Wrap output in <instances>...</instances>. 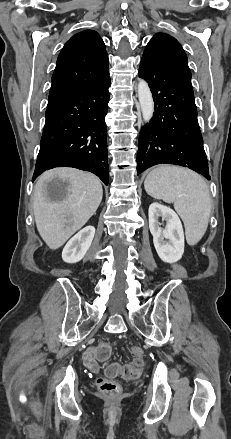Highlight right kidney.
<instances>
[{
    "label": "right kidney",
    "mask_w": 231,
    "mask_h": 439,
    "mask_svg": "<svg viewBox=\"0 0 231 439\" xmlns=\"http://www.w3.org/2000/svg\"><path fill=\"white\" fill-rule=\"evenodd\" d=\"M95 235L94 226H86L73 236L62 251V259L66 263H77L85 256Z\"/></svg>",
    "instance_id": "ca27d5eb"
}]
</instances>
